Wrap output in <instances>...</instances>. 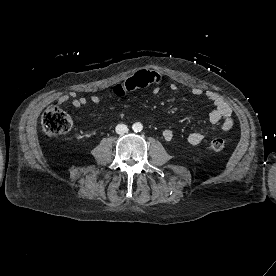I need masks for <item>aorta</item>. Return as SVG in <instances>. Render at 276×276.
Masks as SVG:
<instances>
[{"label":"aorta","mask_w":276,"mask_h":276,"mask_svg":"<svg viewBox=\"0 0 276 276\" xmlns=\"http://www.w3.org/2000/svg\"><path fill=\"white\" fill-rule=\"evenodd\" d=\"M132 129L135 132H140L143 129V125L140 122H136V123L133 124Z\"/></svg>","instance_id":"1"}]
</instances>
